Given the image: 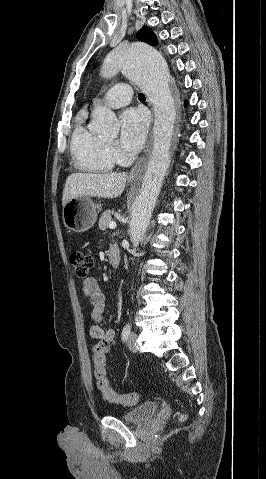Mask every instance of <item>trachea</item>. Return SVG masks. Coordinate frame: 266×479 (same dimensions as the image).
Segmentation results:
<instances>
[{
	"instance_id": "1",
	"label": "trachea",
	"mask_w": 266,
	"mask_h": 479,
	"mask_svg": "<svg viewBox=\"0 0 266 479\" xmlns=\"http://www.w3.org/2000/svg\"><path fill=\"white\" fill-rule=\"evenodd\" d=\"M139 100H145V95L143 93H140L138 95Z\"/></svg>"
}]
</instances>
